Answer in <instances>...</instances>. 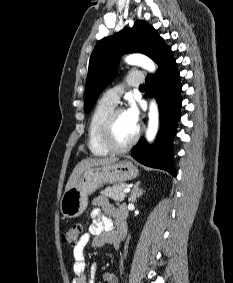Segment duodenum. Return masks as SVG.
Listing matches in <instances>:
<instances>
[{"label":"duodenum","instance_id":"duodenum-1","mask_svg":"<svg viewBox=\"0 0 233 283\" xmlns=\"http://www.w3.org/2000/svg\"><path fill=\"white\" fill-rule=\"evenodd\" d=\"M124 219V217H123ZM125 233H126V225H125V221L121 220L118 222L117 227L113 233V243L114 245L118 248L121 244V242L123 241L124 237H125Z\"/></svg>","mask_w":233,"mask_h":283}]
</instances>
